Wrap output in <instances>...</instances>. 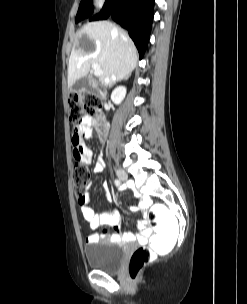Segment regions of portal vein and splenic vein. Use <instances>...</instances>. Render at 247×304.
Returning a JSON list of instances; mask_svg holds the SVG:
<instances>
[{"mask_svg":"<svg viewBox=\"0 0 247 304\" xmlns=\"http://www.w3.org/2000/svg\"><path fill=\"white\" fill-rule=\"evenodd\" d=\"M92 68H93L94 74H95L96 76H101V75H102V70H101L99 64H95V63L92 64Z\"/></svg>","mask_w":247,"mask_h":304,"instance_id":"1","label":"portal vein and splenic vein"}]
</instances>
